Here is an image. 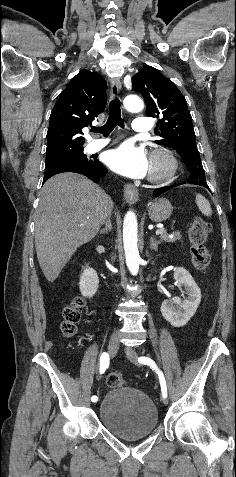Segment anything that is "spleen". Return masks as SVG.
Here are the masks:
<instances>
[{
  "label": "spleen",
  "instance_id": "3e777b00",
  "mask_svg": "<svg viewBox=\"0 0 236 477\" xmlns=\"http://www.w3.org/2000/svg\"><path fill=\"white\" fill-rule=\"evenodd\" d=\"M196 204L199 210L202 212V214H204L205 216L212 215V209H211L209 201L205 199V197L202 196L201 194H196Z\"/></svg>",
  "mask_w": 236,
  "mask_h": 477
}]
</instances>
